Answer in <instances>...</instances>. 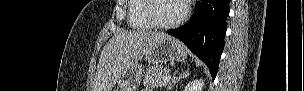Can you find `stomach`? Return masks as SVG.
<instances>
[{
    "label": "stomach",
    "mask_w": 304,
    "mask_h": 91,
    "mask_svg": "<svg viewBox=\"0 0 304 91\" xmlns=\"http://www.w3.org/2000/svg\"><path fill=\"white\" fill-rule=\"evenodd\" d=\"M187 56V49L177 39L167 37L156 43L146 59L153 64H163L169 61H183ZM142 67L138 62L123 70L117 80L120 91H136L142 77Z\"/></svg>",
    "instance_id": "obj_1"
}]
</instances>
